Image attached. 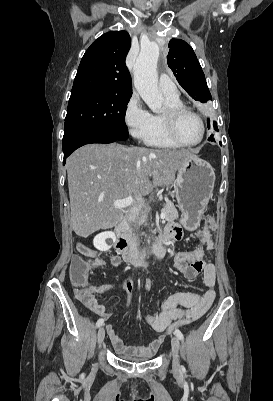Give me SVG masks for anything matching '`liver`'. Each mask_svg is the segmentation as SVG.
Masks as SVG:
<instances>
[{"mask_svg": "<svg viewBox=\"0 0 273 401\" xmlns=\"http://www.w3.org/2000/svg\"><path fill=\"white\" fill-rule=\"evenodd\" d=\"M199 148H141L124 144H85L67 158L71 229L89 237L123 219L115 201L149 194L153 186L172 184L186 160H200ZM149 176H153L150 182Z\"/></svg>", "mask_w": 273, "mask_h": 401, "instance_id": "liver-1", "label": "liver"}]
</instances>
